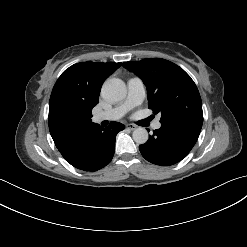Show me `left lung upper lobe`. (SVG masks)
Wrapping results in <instances>:
<instances>
[{
	"instance_id": "5c2ea615",
	"label": "left lung upper lobe",
	"mask_w": 247,
	"mask_h": 247,
	"mask_svg": "<svg viewBox=\"0 0 247 247\" xmlns=\"http://www.w3.org/2000/svg\"><path fill=\"white\" fill-rule=\"evenodd\" d=\"M139 76L147 88L148 107L161 113V124L202 128V101L196 84L176 64L160 58L123 63Z\"/></svg>"
}]
</instances>
